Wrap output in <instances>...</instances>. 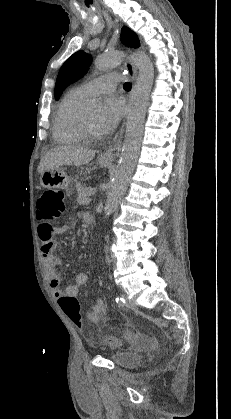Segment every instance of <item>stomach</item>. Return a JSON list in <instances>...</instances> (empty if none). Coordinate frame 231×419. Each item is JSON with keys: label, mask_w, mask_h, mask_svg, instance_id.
<instances>
[{"label": "stomach", "mask_w": 231, "mask_h": 419, "mask_svg": "<svg viewBox=\"0 0 231 419\" xmlns=\"http://www.w3.org/2000/svg\"><path fill=\"white\" fill-rule=\"evenodd\" d=\"M97 162L102 167L111 165L112 161L99 156ZM40 184L48 189H65L70 191L71 181L62 168L46 170L40 175Z\"/></svg>", "instance_id": "stomach-1"}]
</instances>
